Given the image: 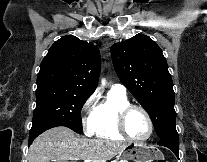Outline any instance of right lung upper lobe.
<instances>
[{
    "label": "right lung upper lobe",
    "instance_id": "obj_1",
    "mask_svg": "<svg viewBox=\"0 0 207 162\" xmlns=\"http://www.w3.org/2000/svg\"><path fill=\"white\" fill-rule=\"evenodd\" d=\"M100 53L96 46L67 35L57 40L43 59L37 89L59 88L91 95L100 74Z\"/></svg>",
    "mask_w": 207,
    "mask_h": 162
}]
</instances>
